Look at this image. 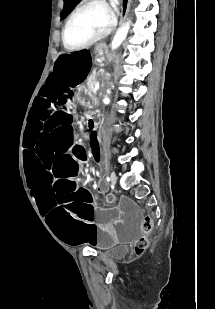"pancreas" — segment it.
<instances>
[{
  "label": "pancreas",
  "instance_id": "obj_1",
  "mask_svg": "<svg viewBox=\"0 0 215 309\" xmlns=\"http://www.w3.org/2000/svg\"><path fill=\"white\" fill-rule=\"evenodd\" d=\"M97 80H93V78H88V82H87V86L88 88H90V90H93L94 88V84H96ZM94 94H96V92H94ZM95 102H96V98H94Z\"/></svg>",
  "mask_w": 215,
  "mask_h": 309
}]
</instances>
